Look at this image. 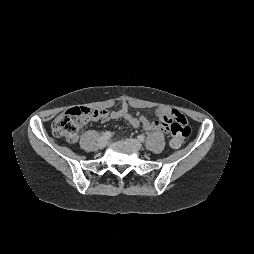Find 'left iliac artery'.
I'll return each mask as SVG.
<instances>
[{
  "instance_id": "obj_1",
  "label": "left iliac artery",
  "mask_w": 254,
  "mask_h": 254,
  "mask_svg": "<svg viewBox=\"0 0 254 254\" xmlns=\"http://www.w3.org/2000/svg\"><path fill=\"white\" fill-rule=\"evenodd\" d=\"M137 138L141 142L145 141V137L143 135H139Z\"/></svg>"
}]
</instances>
